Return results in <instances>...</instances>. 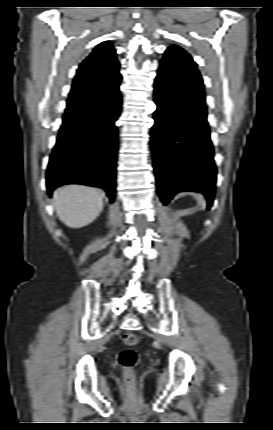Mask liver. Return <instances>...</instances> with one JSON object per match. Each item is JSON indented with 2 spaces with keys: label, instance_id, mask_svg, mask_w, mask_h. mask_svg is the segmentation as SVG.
<instances>
[{
  "label": "liver",
  "instance_id": "1",
  "mask_svg": "<svg viewBox=\"0 0 273 430\" xmlns=\"http://www.w3.org/2000/svg\"><path fill=\"white\" fill-rule=\"evenodd\" d=\"M99 190L68 185L54 192L53 205L59 219L71 228H82L93 222L103 208Z\"/></svg>",
  "mask_w": 273,
  "mask_h": 430
}]
</instances>
